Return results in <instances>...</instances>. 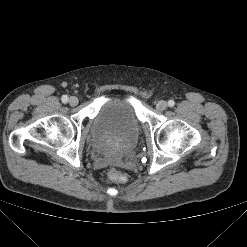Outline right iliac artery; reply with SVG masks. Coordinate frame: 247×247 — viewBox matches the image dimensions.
<instances>
[{
    "label": "right iliac artery",
    "mask_w": 247,
    "mask_h": 247,
    "mask_svg": "<svg viewBox=\"0 0 247 247\" xmlns=\"http://www.w3.org/2000/svg\"><path fill=\"white\" fill-rule=\"evenodd\" d=\"M61 100H62V102L66 103L68 101L67 95H63Z\"/></svg>",
    "instance_id": "right-iliac-artery-1"
}]
</instances>
